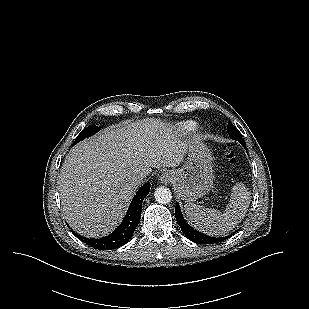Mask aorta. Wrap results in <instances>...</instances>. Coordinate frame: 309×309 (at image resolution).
Here are the masks:
<instances>
[{
  "label": "aorta",
  "mask_w": 309,
  "mask_h": 309,
  "mask_svg": "<svg viewBox=\"0 0 309 309\" xmlns=\"http://www.w3.org/2000/svg\"><path fill=\"white\" fill-rule=\"evenodd\" d=\"M154 197L158 203L168 204L172 199V193L167 187H158L155 189Z\"/></svg>",
  "instance_id": "aorta-1"
}]
</instances>
